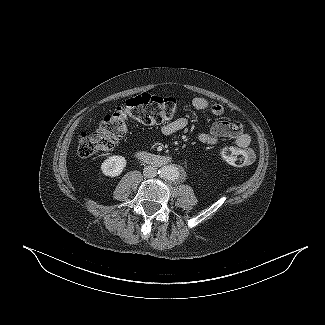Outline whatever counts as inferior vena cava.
<instances>
[{
	"instance_id": "602c4592",
	"label": "inferior vena cava",
	"mask_w": 325,
	"mask_h": 325,
	"mask_svg": "<svg viewBox=\"0 0 325 325\" xmlns=\"http://www.w3.org/2000/svg\"><path fill=\"white\" fill-rule=\"evenodd\" d=\"M143 175L146 178H154L157 175V168H155L154 166H146L143 169Z\"/></svg>"
}]
</instances>
